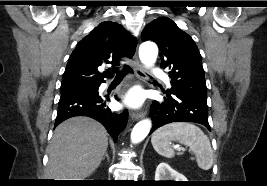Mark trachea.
Listing matches in <instances>:
<instances>
[{"label":"trachea","instance_id":"3493384b","mask_svg":"<svg viewBox=\"0 0 267 186\" xmlns=\"http://www.w3.org/2000/svg\"><path fill=\"white\" fill-rule=\"evenodd\" d=\"M112 71L116 72V78H120L121 77L120 73L118 72V69H113Z\"/></svg>","mask_w":267,"mask_h":186}]
</instances>
